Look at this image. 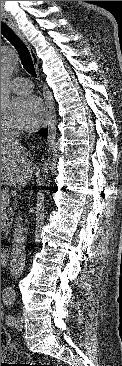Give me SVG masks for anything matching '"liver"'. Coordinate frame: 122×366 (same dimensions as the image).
<instances>
[{
    "instance_id": "6515ba94",
    "label": "liver",
    "mask_w": 122,
    "mask_h": 366,
    "mask_svg": "<svg viewBox=\"0 0 122 366\" xmlns=\"http://www.w3.org/2000/svg\"><path fill=\"white\" fill-rule=\"evenodd\" d=\"M33 163L28 154L7 145L1 134V185L24 186L31 179Z\"/></svg>"
}]
</instances>
